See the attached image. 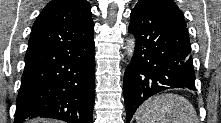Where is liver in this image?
<instances>
[{
	"label": "liver",
	"mask_w": 221,
	"mask_h": 123,
	"mask_svg": "<svg viewBox=\"0 0 221 123\" xmlns=\"http://www.w3.org/2000/svg\"><path fill=\"white\" fill-rule=\"evenodd\" d=\"M29 123H56V121L47 119H34L30 120Z\"/></svg>",
	"instance_id": "6515ba94"
}]
</instances>
